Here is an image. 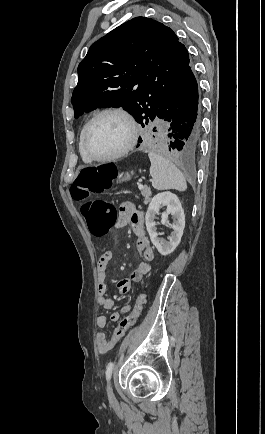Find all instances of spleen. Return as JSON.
<instances>
[{"instance_id": "3e777b00", "label": "spleen", "mask_w": 265, "mask_h": 434, "mask_svg": "<svg viewBox=\"0 0 265 434\" xmlns=\"http://www.w3.org/2000/svg\"><path fill=\"white\" fill-rule=\"evenodd\" d=\"M148 156L151 162L150 176L153 178V188H156V190L185 192L187 188L186 180L175 164H172L164 156L155 154V152H149Z\"/></svg>"}]
</instances>
